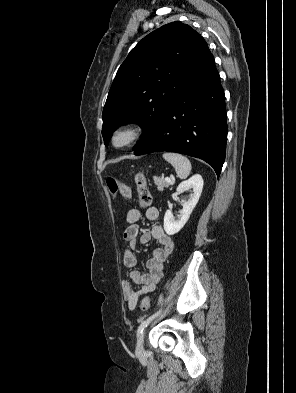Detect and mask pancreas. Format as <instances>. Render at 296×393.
Masks as SVG:
<instances>
[{"label":"pancreas","mask_w":296,"mask_h":393,"mask_svg":"<svg viewBox=\"0 0 296 393\" xmlns=\"http://www.w3.org/2000/svg\"><path fill=\"white\" fill-rule=\"evenodd\" d=\"M153 180L159 191H163L164 188L171 185V182L166 181L163 177H154Z\"/></svg>","instance_id":"1"}]
</instances>
